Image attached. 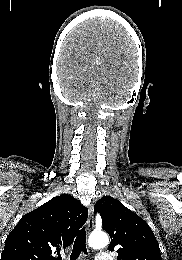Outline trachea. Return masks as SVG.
<instances>
[{
  "label": "trachea",
  "instance_id": "1",
  "mask_svg": "<svg viewBox=\"0 0 182 260\" xmlns=\"http://www.w3.org/2000/svg\"><path fill=\"white\" fill-rule=\"evenodd\" d=\"M81 252H84L87 254V248H86V230L85 227H83L77 234V237L75 239L72 253L70 255V260H77V258L80 256ZM61 260V259H59Z\"/></svg>",
  "mask_w": 182,
  "mask_h": 260
}]
</instances>
